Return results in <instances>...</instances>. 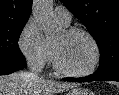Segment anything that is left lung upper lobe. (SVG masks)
I'll list each match as a JSON object with an SVG mask.
<instances>
[{
    "mask_svg": "<svg viewBox=\"0 0 119 95\" xmlns=\"http://www.w3.org/2000/svg\"><path fill=\"white\" fill-rule=\"evenodd\" d=\"M96 40L103 76L119 71V0H61Z\"/></svg>",
    "mask_w": 119,
    "mask_h": 95,
    "instance_id": "obj_1",
    "label": "left lung upper lobe"
}]
</instances>
